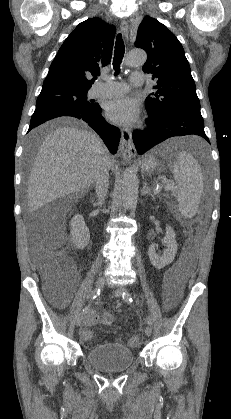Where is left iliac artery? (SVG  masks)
<instances>
[{"mask_svg": "<svg viewBox=\"0 0 231 419\" xmlns=\"http://www.w3.org/2000/svg\"><path fill=\"white\" fill-rule=\"evenodd\" d=\"M122 297H123V299L125 300V302H127V303H132L133 302V299H132V297H131V294L129 293V291L127 290V289H125L124 291H123V293H122ZM147 323H148V325H152V323H153V321H152V318L151 317H148L147 318Z\"/></svg>", "mask_w": 231, "mask_h": 419, "instance_id": "44dca946", "label": "left iliac artery"}]
</instances>
